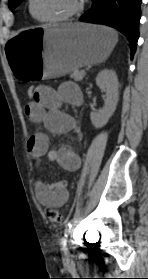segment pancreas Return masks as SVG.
<instances>
[{"label":"pancreas","instance_id":"obj_1","mask_svg":"<svg viewBox=\"0 0 148 279\" xmlns=\"http://www.w3.org/2000/svg\"><path fill=\"white\" fill-rule=\"evenodd\" d=\"M83 71H79V70H74L70 77L73 78L75 81H81L85 75H82Z\"/></svg>","mask_w":148,"mask_h":279}]
</instances>
